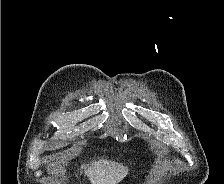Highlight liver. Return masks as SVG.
Masks as SVG:
<instances>
[{
    "label": "liver",
    "mask_w": 224,
    "mask_h": 184,
    "mask_svg": "<svg viewBox=\"0 0 224 184\" xmlns=\"http://www.w3.org/2000/svg\"><path fill=\"white\" fill-rule=\"evenodd\" d=\"M81 169H84L91 184H117L128 173V167L107 160H98L91 165H82Z\"/></svg>",
    "instance_id": "liver-1"
}]
</instances>
